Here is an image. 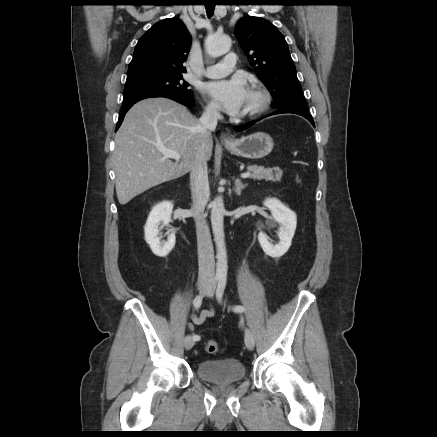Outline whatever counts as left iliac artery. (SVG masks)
<instances>
[{
	"mask_svg": "<svg viewBox=\"0 0 437 437\" xmlns=\"http://www.w3.org/2000/svg\"><path fill=\"white\" fill-rule=\"evenodd\" d=\"M226 287V277H221L218 282L216 297L219 302H222L223 293ZM232 310L235 312H243L245 309L241 305H236L232 307Z\"/></svg>",
	"mask_w": 437,
	"mask_h": 437,
	"instance_id": "obj_1",
	"label": "left iliac artery"
}]
</instances>
